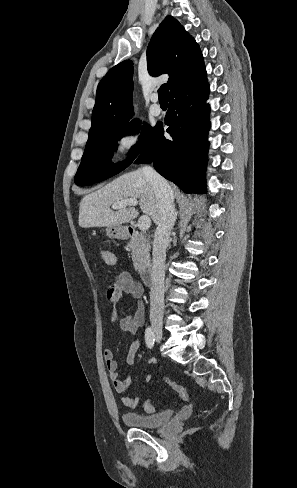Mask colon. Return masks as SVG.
<instances>
[{
    "label": "colon",
    "instance_id": "1",
    "mask_svg": "<svg viewBox=\"0 0 297 488\" xmlns=\"http://www.w3.org/2000/svg\"><path fill=\"white\" fill-rule=\"evenodd\" d=\"M99 256H100V259L102 260L105 257L104 251H100ZM114 292H115V283L111 282L108 286V289H107L108 297L110 298ZM164 380L167 381V384L180 396L181 399H183L184 401L189 400L188 391L186 390V388L184 386H182L181 384H179L173 380H170L169 376H165ZM144 409L148 413L155 412V407L153 406V404L151 403L150 400L145 401Z\"/></svg>",
    "mask_w": 297,
    "mask_h": 488
}]
</instances>
